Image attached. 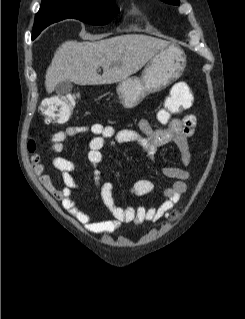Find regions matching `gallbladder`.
Listing matches in <instances>:
<instances>
[{
    "label": "gallbladder",
    "mask_w": 245,
    "mask_h": 319,
    "mask_svg": "<svg viewBox=\"0 0 245 319\" xmlns=\"http://www.w3.org/2000/svg\"><path fill=\"white\" fill-rule=\"evenodd\" d=\"M73 88V85L70 81H61L55 87V92L59 95H64L69 93Z\"/></svg>",
    "instance_id": "obj_1"
}]
</instances>
